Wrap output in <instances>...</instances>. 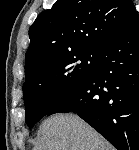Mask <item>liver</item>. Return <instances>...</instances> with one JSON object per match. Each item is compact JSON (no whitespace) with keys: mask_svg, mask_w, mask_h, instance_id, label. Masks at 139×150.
<instances>
[{"mask_svg":"<svg viewBox=\"0 0 139 150\" xmlns=\"http://www.w3.org/2000/svg\"><path fill=\"white\" fill-rule=\"evenodd\" d=\"M34 150H113V147L77 115L56 114L40 126Z\"/></svg>","mask_w":139,"mask_h":150,"instance_id":"1","label":"liver"}]
</instances>
